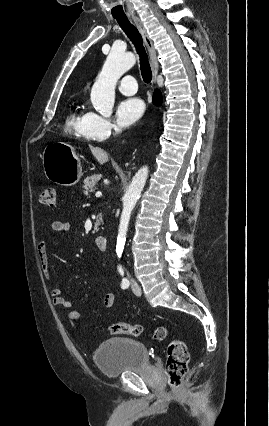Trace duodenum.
I'll return each instance as SVG.
<instances>
[{"mask_svg":"<svg viewBox=\"0 0 269 426\" xmlns=\"http://www.w3.org/2000/svg\"><path fill=\"white\" fill-rule=\"evenodd\" d=\"M96 245L101 251H106L108 248V240L103 236H98L96 238Z\"/></svg>","mask_w":269,"mask_h":426,"instance_id":"410a0bca","label":"duodenum"}]
</instances>
